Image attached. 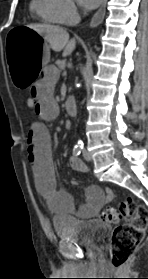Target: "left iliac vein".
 Masks as SVG:
<instances>
[{"label":"left iliac vein","mask_w":148,"mask_h":279,"mask_svg":"<svg viewBox=\"0 0 148 279\" xmlns=\"http://www.w3.org/2000/svg\"><path fill=\"white\" fill-rule=\"evenodd\" d=\"M83 157L86 161H90L91 160V157H90V154L88 153L87 150H83Z\"/></svg>","instance_id":"1"}]
</instances>
